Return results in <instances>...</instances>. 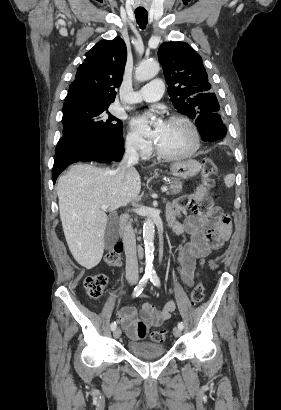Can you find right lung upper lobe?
Returning <instances> with one entry per match:
<instances>
[{
  "instance_id": "1",
  "label": "right lung upper lobe",
  "mask_w": 281,
  "mask_h": 410,
  "mask_svg": "<svg viewBox=\"0 0 281 410\" xmlns=\"http://www.w3.org/2000/svg\"><path fill=\"white\" fill-rule=\"evenodd\" d=\"M85 56L69 87L64 106L76 103L109 105L115 100V89L122 82L127 60L125 42L120 37L102 40Z\"/></svg>"
}]
</instances>
